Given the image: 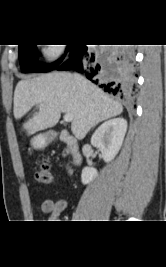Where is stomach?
Listing matches in <instances>:
<instances>
[{
	"mask_svg": "<svg viewBox=\"0 0 166 267\" xmlns=\"http://www.w3.org/2000/svg\"><path fill=\"white\" fill-rule=\"evenodd\" d=\"M52 140V135L50 133H44L36 135L32 138L31 144L36 149H42L46 147Z\"/></svg>",
	"mask_w": 166,
	"mask_h": 267,
	"instance_id": "1",
	"label": "stomach"
}]
</instances>
